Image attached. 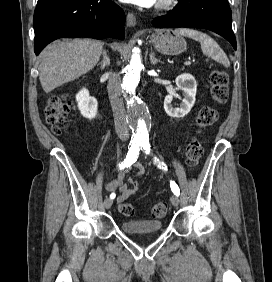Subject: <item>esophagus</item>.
Returning <instances> with one entry per match:
<instances>
[{
    "mask_svg": "<svg viewBox=\"0 0 272 282\" xmlns=\"http://www.w3.org/2000/svg\"><path fill=\"white\" fill-rule=\"evenodd\" d=\"M126 24L128 27H134L136 24V17L132 13H128L126 17Z\"/></svg>",
    "mask_w": 272,
    "mask_h": 282,
    "instance_id": "obj_1",
    "label": "esophagus"
}]
</instances>
